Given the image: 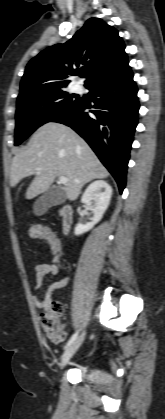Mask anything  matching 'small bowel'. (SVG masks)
<instances>
[{
    "label": "small bowel",
    "mask_w": 165,
    "mask_h": 419,
    "mask_svg": "<svg viewBox=\"0 0 165 419\" xmlns=\"http://www.w3.org/2000/svg\"><path fill=\"white\" fill-rule=\"evenodd\" d=\"M34 270H35L34 289L39 290L43 286L45 280L50 276L56 275L60 269L56 263H36L34 265ZM68 282H69V276L65 274L61 279L51 283L48 286L45 296L43 298H40L38 296L34 297L35 306L38 309H45L51 300V294L58 289L64 288L68 284Z\"/></svg>",
    "instance_id": "small-bowel-1"
}]
</instances>
